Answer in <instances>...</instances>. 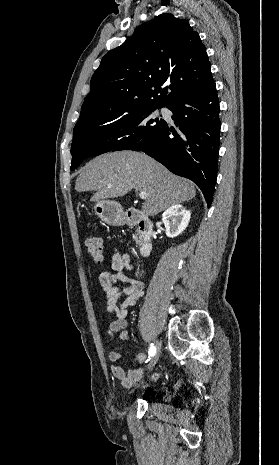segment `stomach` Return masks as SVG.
Segmentation results:
<instances>
[{"label":"stomach","instance_id":"1","mask_svg":"<svg viewBox=\"0 0 279 465\" xmlns=\"http://www.w3.org/2000/svg\"><path fill=\"white\" fill-rule=\"evenodd\" d=\"M95 214L105 223L121 226L125 223V216L121 205L110 200H98L94 206Z\"/></svg>","mask_w":279,"mask_h":465}]
</instances>
